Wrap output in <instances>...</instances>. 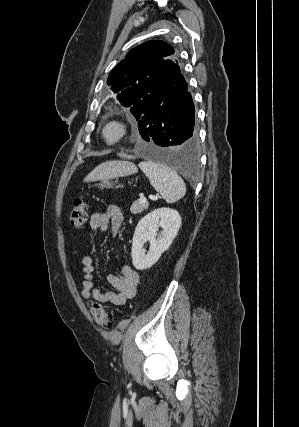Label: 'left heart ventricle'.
<instances>
[{"label": "left heart ventricle", "instance_id": "left-heart-ventricle-1", "mask_svg": "<svg viewBox=\"0 0 299 427\" xmlns=\"http://www.w3.org/2000/svg\"><path fill=\"white\" fill-rule=\"evenodd\" d=\"M115 132H116L115 128H113V127L108 128V130H107V137L109 139L113 138L115 136Z\"/></svg>", "mask_w": 299, "mask_h": 427}]
</instances>
